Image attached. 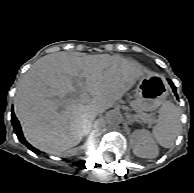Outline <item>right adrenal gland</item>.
<instances>
[{
    "instance_id": "1",
    "label": "right adrenal gland",
    "mask_w": 194,
    "mask_h": 193,
    "mask_svg": "<svg viewBox=\"0 0 194 193\" xmlns=\"http://www.w3.org/2000/svg\"><path fill=\"white\" fill-rule=\"evenodd\" d=\"M94 119H89V123H88V127H87V131H86V135L90 132V130H91V126H92V121H93Z\"/></svg>"
}]
</instances>
